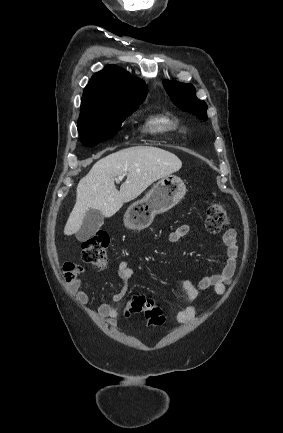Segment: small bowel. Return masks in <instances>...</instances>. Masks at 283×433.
<instances>
[{"label": "small bowel", "mask_w": 283, "mask_h": 433, "mask_svg": "<svg viewBox=\"0 0 283 433\" xmlns=\"http://www.w3.org/2000/svg\"><path fill=\"white\" fill-rule=\"evenodd\" d=\"M189 234L190 226L188 224H182L169 234V241L173 243L178 242L189 236ZM222 241L226 246V254L223 258L220 270L217 273L202 278L197 284L190 281H184L182 283V288L188 299L191 301V304L177 312L176 320L178 323L187 324L195 318L197 311L196 300L202 290H211L217 295H223L226 292L228 285L234 279L238 256L236 230L233 228L226 230L222 236ZM117 274L122 281V287L112 296V302L115 303L121 301L124 297L128 289L129 281L134 276V271L127 261H121L117 267ZM80 285L81 280L76 278L71 282L70 288L77 301L81 305L87 306L89 303V296L86 292L81 290ZM98 314L105 319L107 323L113 324L118 311L111 303H103L98 308Z\"/></svg>", "instance_id": "obj_1"}]
</instances>
